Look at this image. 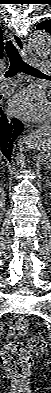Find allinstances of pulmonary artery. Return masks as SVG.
I'll return each mask as SVG.
<instances>
[{
  "label": "pulmonary artery",
  "instance_id": "e3ab8cb5",
  "mask_svg": "<svg viewBox=\"0 0 51 393\" xmlns=\"http://www.w3.org/2000/svg\"><path fill=\"white\" fill-rule=\"evenodd\" d=\"M40 66H41L44 70H47V69H48V63L42 62V63L40 64Z\"/></svg>",
  "mask_w": 51,
  "mask_h": 393
}]
</instances>
